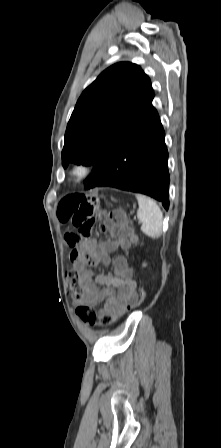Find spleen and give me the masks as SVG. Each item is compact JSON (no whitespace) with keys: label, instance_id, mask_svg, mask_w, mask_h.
I'll return each mask as SVG.
<instances>
[{"label":"spleen","instance_id":"3e777b00","mask_svg":"<svg viewBox=\"0 0 221 448\" xmlns=\"http://www.w3.org/2000/svg\"><path fill=\"white\" fill-rule=\"evenodd\" d=\"M139 208L137 217L142 222L141 231L150 238L157 239L162 235L163 213L151 198L136 194Z\"/></svg>","mask_w":221,"mask_h":448}]
</instances>
